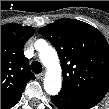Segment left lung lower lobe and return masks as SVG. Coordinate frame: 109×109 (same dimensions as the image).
I'll use <instances>...</instances> for the list:
<instances>
[{"instance_id":"1","label":"left lung lower lobe","mask_w":109,"mask_h":109,"mask_svg":"<svg viewBox=\"0 0 109 109\" xmlns=\"http://www.w3.org/2000/svg\"><path fill=\"white\" fill-rule=\"evenodd\" d=\"M51 100L59 109H90L97 104L93 100L66 90H61L58 95L52 96Z\"/></svg>"}]
</instances>
